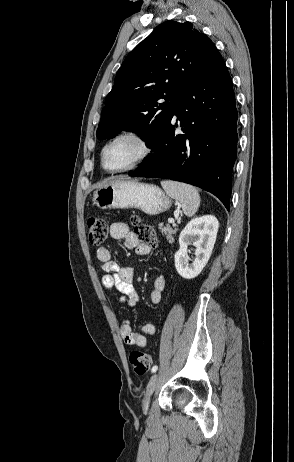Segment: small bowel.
<instances>
[{"label": "small bowel", "instance_id": "c3829d8e", "mask_svg": "<svg viewBox=\"0 0 294 462\" xmlns=\"http://www.w3.org/2000/svg\"><path fill=\"white\" fill-rule=\"evenodd\" d=\"M110 235L114 239L123 241L125 247L134 250L138 255H147L151 252V248L140 243L136 235L123 222L113 223L110 226ZM97 258L104 272L102 277L103 286L108 290H116L120 294V302L130 307L136 306L139 302V295L133 284L134 269L129 266H120L117 262L113 261L110 250L105 246L97 250ZM165 285L164 277L157 276L154 279L153 288L149 296L153 304L160 302ZM119 330L124 343L145 347L147 345V337L155 334L156 327L152 323H145L139 330L134 331L130 321L124 320Z\"/></svg>", "mask_w": 294, "mask_h": 462}]
</instances>
